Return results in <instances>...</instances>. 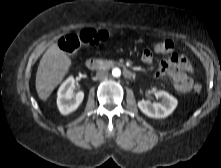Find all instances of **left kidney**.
Listing matches in <instances>:
<instances>
[{
  "label": "left kidney",
  "mask_w": 221,
  "mask_h": 168,
  "mask_svg": "<svg viewBox=\"0 0 221 168\" xmlns=\"http://www.w3.org/2000/svg\"><path fill=\"white\" fill-rule=\"evenodd\" d=\"M156 96L162 98L160 103H151L149 100H140L138 107L150 118H165L169 116L177 107L178 101L169 93L152 89Z\"/></svg>",
  "instance_id": "left-kidney-1"
}]
</instances>
